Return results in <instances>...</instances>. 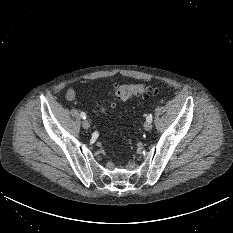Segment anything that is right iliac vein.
<instances>
[{"mask_svg": "<svg viewBox=\"0 0 233 233\" xmlns=\"http://www.w3.org/2000/svg\"><path fill=\"white\" fill-rule=\"evenodd\" d=\"M82 126H83L84 129H89V128H90V123H89V121H88L87 119H84V120L82 121Z\"/></svg>", "mask_w": 233, "mask_h": 233, "instance_id": "right-iliac-vein-1", "label": "right iliac vein"}]
</instances>
